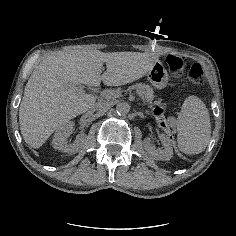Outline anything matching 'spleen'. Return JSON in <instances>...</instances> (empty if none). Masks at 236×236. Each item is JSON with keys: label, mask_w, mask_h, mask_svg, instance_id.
Wrapping results in <instances>:
<instances>
[{"label": "spleen", "mask_w": 236, "mask_h": 236, "mask_svg": "<svg viewBox=\"0 0 236 236\" xmlns=\"http://www.w3.org/2000/svg\"><path fill=\"white\" fill-rule=\"evenodd\" d=\"M177 138L179 150L187 155L199 154L207 147L211 137L208 110L202 100L189 97L178 116Z\"/></svg>", "instance_id": "3e777b00"}]
</instances>
